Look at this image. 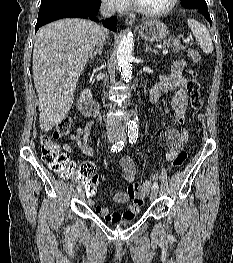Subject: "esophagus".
Masks as SVG:
<instances>
[{
  "mask_svg": "<svg viewBox=\"0 0 233 263\" xmlns=\"http://www.w3.org/2000/svg\"><path fill=\"white\" fill-rule=\"evenodd\" d=\"M125 22L127 25H132L133 24V19L131 17H126Z\"/></svg>",
  "mask_w": 233,
  "mask_h": 263,
  "instance_id": "esophagus-1",
  "label": "esophagus"
}]
</instances>
